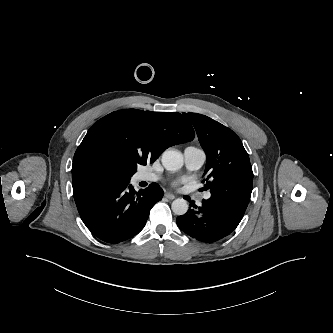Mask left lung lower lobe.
Wrapping results in <instances>:
<instances>
[{
  "label": "left lung lower lobe",
  "instance_id": "1",
  "mask_svg": "<svg viewBox=\"0 0 333 333\" xmlns=\"http://www.w3.org/2000/svg\"><path fill=\"white\" fill-rule=\"evenodd\" d=\"M253 172L250 164L223 174L218 187L200 207L194 202L191 209L177 217L178 227L202 242H215L229 235L240 223L250 201Z\"/></svg>",
  "mask_w": 333,
  "mask_h": 333
}]
</instances>
